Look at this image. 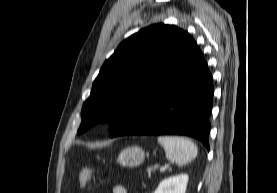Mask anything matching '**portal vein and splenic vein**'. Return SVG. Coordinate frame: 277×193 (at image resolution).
Masks as SVG:
<instances>
[{"label": "portal vein and splenic vein", "mask_w": 277, "mask_h": 193, "mask_svg": "<svg viewBox=\"0 0 277 193\" xmlns=\"http://www.w3.org/2000/svg\"><path fill=\"white\" fill-rule=\"evenodd\" d=\"M166 170V167L165 166H161L160 167V172H164ZM148 174H151L150 171H148Z\"/></svg>", "instance_id": "18ae733b"}]
</instances>
